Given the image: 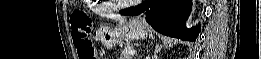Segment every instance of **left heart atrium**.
I'll use <instances>...</instances> for the list:
<instances>
[{
    "mask_svg": "<svg viewBox=\"0 0 261 59\" xmlns=\"http://www.w3.org/2000/svg\"><path fill=\"white\" fill-rule=\"evenodd\" d=\"M140 0H127L126 3H138Z\"/></svg>",
    "mask_w": 261,
    "mask_h": 59,
    "instance_id": "1",
    "label": "left heart atrium"
}]
</instances>
